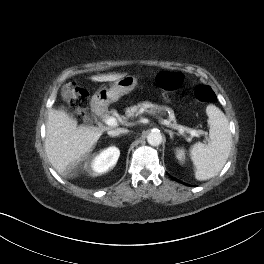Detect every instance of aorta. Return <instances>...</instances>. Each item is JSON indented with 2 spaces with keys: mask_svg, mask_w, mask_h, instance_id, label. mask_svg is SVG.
Here are the masks:
<instances>
[{
  "mask_svg": "<svg viewBox=\"0 0 264 264\" xmlns=\"http://www.w3.org/2000/svg\"><path fill=\"white\" fill-rule=\"evenodd\" d=\"M147 141L151 146H159L162 143V135L159 131H152L147 136Z\"/></svg>",
  "mask_w": 264,
  "mask_h": 264,
  "instance_id": "762f6f07",
  "label": "aorta"
}]
</instances>
